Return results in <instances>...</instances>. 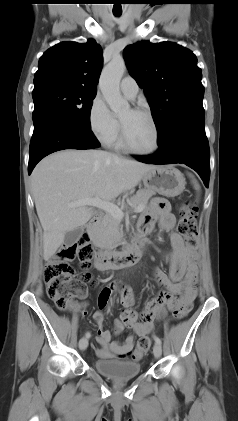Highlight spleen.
I'll return each instance as SVG.
<instances>
[{
    "label": "spleen",
    "instance_id": "1",
    "mask_svg": "<svg viewBox=\"0 0 238 421\" xmlns=\"http://www.w3.org/2000/svg\"><path fill=\"white\" fill-rule=\"evenodd\" d=\"M191 176V175H190ZM192 177V182H193V184H194V188L197 190V191H199L200 190V186H199V184L197 183V181L193 178V176H191Z\"/></svg>",
    "mask_w": 238,
    "mask_h": 421
}]
</instances>
